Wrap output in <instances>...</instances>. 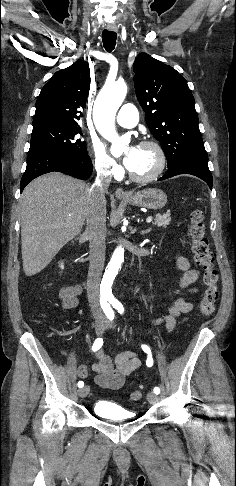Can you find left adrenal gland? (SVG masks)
I'll return each mask as SVG.
<instances>
[{"mask_svg": "<svg viewBox=\"0 0 236 486\" xmlns=\"http://www.w3.org/2000/svg\"><path fill=\"white\" fill-rule=\"evenodd\" d=\"M150 230H151V229L149 228V229H146V230H144V231H141V234H147V233H149V232H150Z\"/></svg>", "mask_w": 236, "mask_h": 486, "instance_id": "left-adrenal-gland-1", "label": "left adrenal gland"}]
</instances>
